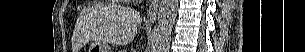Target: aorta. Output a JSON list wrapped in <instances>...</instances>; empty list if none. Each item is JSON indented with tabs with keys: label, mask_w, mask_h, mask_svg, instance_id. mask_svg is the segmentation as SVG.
I'll list each match as a JSON object with an SVG mask.
<instances>
[{
	"label": "aorta",
	"mask_w": 305,
	"mask_h": 52,
	"mask_svg": "<svg viewBox=\"0 0 305 52\" xmlns=\"http://www.w3.org/2000/svg\"><path fill=\"white\" fill-rule=\"evenodd\" d=\"M178 0H162L158 11L157 32L151 44V52H168L171 32L178 10Z\"/></svg>",
	"instance_id": "aorta-1"
}]
</instances>
